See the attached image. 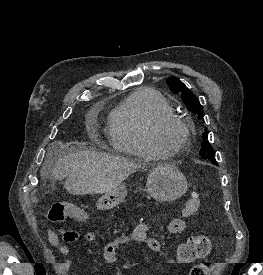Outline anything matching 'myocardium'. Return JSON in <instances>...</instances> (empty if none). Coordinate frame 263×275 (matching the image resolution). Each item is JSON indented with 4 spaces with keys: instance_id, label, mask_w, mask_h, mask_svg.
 Instances as JSON below:
<instances>
[{
    "instance_id": "f54148a6",
    "label": "myocardium",
    "mask_w": 263,
    "mask_h": 275,
    "mask_svg": "<svg viewBox=\"0 0 263 275\" xmlns=\"http://www.w3.org/2000/svg\"><path fill=\"white\" fill-rule=\"evenodd\" d=\"M175 125L183 132L180 142L174 146L164 144L159 138L160 131L168 126ZM191 140V128L187 120L175 114H163L159 116L151 125L149 130V141L151 145L164 155H174L181 152Z\"/></svg>"
}]
</instances>
